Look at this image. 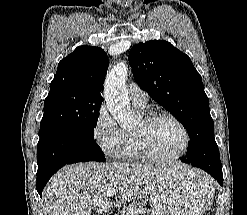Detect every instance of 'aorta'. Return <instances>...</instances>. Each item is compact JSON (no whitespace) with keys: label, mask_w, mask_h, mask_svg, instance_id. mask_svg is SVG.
Wrapping results in <instances>:
<instances>
[{"label":"aorta","mask_w":247,"mask_h":215,"mask_svg":"<svg viewBox=\"0 0 247 215\" xmlns=\"http://www.w3.org/2000/svg\"><path fill=\"white\" fill-rule=\"evenodd\" d=\"M128 67L125 62L117 63L107 74L104 83V98L107 109L118 124L127 128L136 124V115L130 109L126 87Z\"/></svg>","instance_id":"obj_1"}]
</instances>
